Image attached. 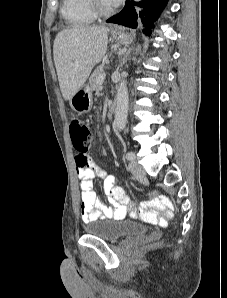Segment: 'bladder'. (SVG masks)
Listing matches in <instances>:
<instances>
[{
  "instance_id": "31cf9c89",
  "label": "bladder",
  "mask_w": 227,
  "mask_h": 298,
  "mask_svg": "<svg viewBox=\"0 0 227 298\" xmlns=\"http://www.w3.org/2000/svg\"><path fill=\"white\" fill-rule=\"evenodd\" d=\"M87 234L107 240L116 241L122 238L145 234L148 227L132 220L106 219L89 222L85 226Z\"/></svg>"
}]
</instances>
